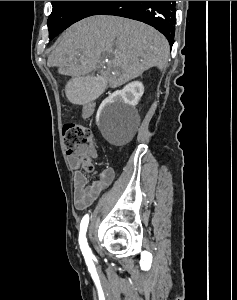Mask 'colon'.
Masks as SVG:
<instances>
[{
	"instance_id": "1",
	"label": "colon",
	"mask_w": 237,
	"mask_h": 300,
	"mask_svg": "<svg viewBox=\"0 0 237 300\" xmlns=\"http://www.w3.org/2000/svg\"><path fill=\"white\" fill-rule=\"evenodd\" d=\"M63 139L67 154L84 156L83 169L92 172L94 166L86 156V152L92 146L91 130L81 124L69 122L63 127Z\"/></svg>"
}]
</instances>
